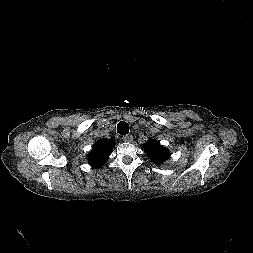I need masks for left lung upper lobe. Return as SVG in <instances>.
Instances as JSON below:
<instances>
[{
    "instance_id": "obj_1",
    "label": "left lung upper lobe",
    "mask_w": 253,
    "mask_h": 253,
    "mask_svg": "<svg viewBox=\"0 0 253 253\" xmlns=\"http://www.w3.org/2000/svg\"><path fill=\"white\" fill-rule=\"evenodd\" d=\"M144 148L148 157L156 164L163 163L169 157L168 149L160 145V142L156 140L146 142Z\"/></svg>"
}]
</instances>
